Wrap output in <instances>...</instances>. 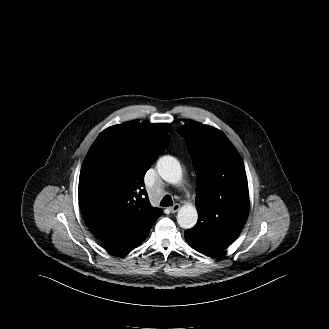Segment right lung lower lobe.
I'll list each match as a JSON object with an SVG mask.
<instances>
[{"label":"right lung lower lobe","instance_id":"98d812e1","mask_svg":"<svg viewBox=\"0 0 329 329\" xmlns=\"http://www.w3.org/2000/svg\"><path fill=\"white\" fill-rule=\"evenodd\" d=\"M152 225L144 230L131 234H116L102 242L110 252L125 255L128 253L129 249L142 243V241L147 237Z\"/></svg>","mask_w":329,"mask_h":329}]
</instances>
